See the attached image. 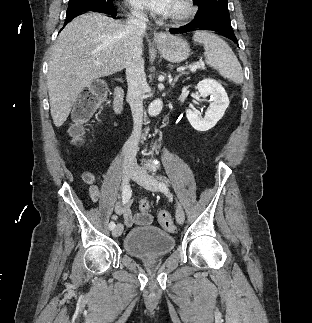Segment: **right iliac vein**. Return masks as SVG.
<instances>
[{"label":"right iliac vein","instance_id":"63e3f726","mask_svg":"<svg viewBox=\"0 0 312 323\" xmlns=\"http://www.w3.org/2000/svg\"><path fill=\"white\" fill-rule=\"evenodd\" d=\"M123 185L127 186L129 184V181L131 177L133 176V168L129 165L124 164L123 165ZM123 231V226L121 223L117 224L113 230V236L114 237H119L122 234Z\"/></svg>","mask_w":312,"mask_h":323}]
</instances>
